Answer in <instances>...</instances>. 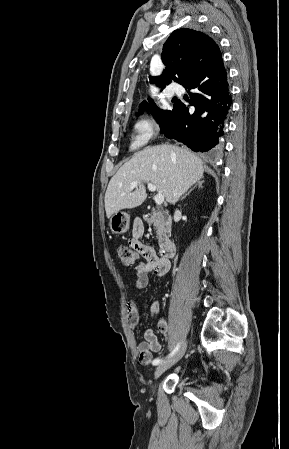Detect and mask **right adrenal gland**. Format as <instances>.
I'll use <instances>...</instances> for the list:
<instances>
[{"instance_id": "right-adrenal-gland-1", "label": "right adrenal gland", "mask_w": 289, "mask_h": 449, "mask_svg": "<svg viewBox=\"0 0 289 449\" xmlns=\"http://www.w3.org/2000/svg\"><path fill=\"white\" fill-rule=\"evenodd\" d=\"M203 183H204V181L196 182L195 186L192 187L187 193H185L184 196L181 198V200H183L195 187L203 188V186H202Z\"/></svg>"}]
</instances>
